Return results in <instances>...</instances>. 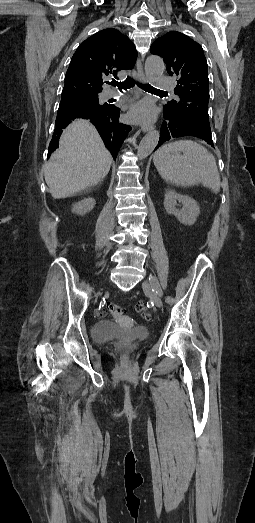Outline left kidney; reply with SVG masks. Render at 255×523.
Returning a JSON list of instances; mask_svg holds the SVG:
<instances>
[{
    "label": "left kidney",
    "instance_id": "obj_1",
    "mask_svg": "<svg viewBox=\"0 0 255 523\" xmlns=\"http://www.w3.org/2000/svg\"><path fill=\"white\" fill-rule=\"evenodd\" d=\"M177 200L183 204L182 210H176ZM164 206L167 214H174L177 220L186 226H193L200 214V208L193 198L177 194L174 190H166Z\"/></svg>",
    "mask_w": 255,
    "mask_h": 523
}]
</instances>
